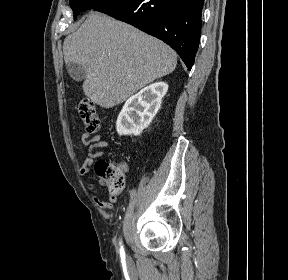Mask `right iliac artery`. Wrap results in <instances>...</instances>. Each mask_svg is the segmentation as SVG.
<instances>
[{"instance_id":"82829eb1","label":"right iliac artery","mask_w":288,"mask_h":280,"mask_svg":"<svg viewBox=\"0 0 288 280\" xmlns=\"http://www.w3.org/2000/svg\"><path fill=\"white\" fill-rule=\"evenodd\" d=\"M120 254H121V256H124V255H125L124 248H123V246L121 245V242H120Z\"/></svg>"}]
</instances>
